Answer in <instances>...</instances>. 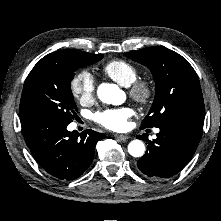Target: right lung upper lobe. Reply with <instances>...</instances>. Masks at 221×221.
<instances>
[{"label":"right lung upper lobe","instance_id":"obj_1","mask_svg":"<svg viewBox=\"0 0 221 221\" xmlns=\"http://www.w3.org/2000/svg\"><path fill=\"white\" fill-rule=\"evenodd\" d=\"M87 52L79 51V50H72V49H67V50H60L53 52L51 54L46 55L43 57L40 62L43 61H65L66 59L75 56L77 54H83Z\"/></svg>","mask_w":221,"mask_h":221}]
</instances>
